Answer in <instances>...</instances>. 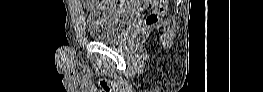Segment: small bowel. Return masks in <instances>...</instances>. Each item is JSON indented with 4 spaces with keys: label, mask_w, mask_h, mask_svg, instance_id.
<instances>
[{
    "label": "small bowel",
    "mask_w": 263,
    "mask_h": 92,
    "mask_svg": "<svg viewBox=\"0 0 263 92\" xmlns=\"http://www.w3.org/2000/svg\"><path fill=\"white\" fill-rule=\"evenodd\" d=\"M97 3V1L95 0H92V1H85V5H86V8L90 9L92 8L95 4ZM149 6H152L153 3H147Z\"/></svg>",
    "instance_id": "1"
}]
</instances>
